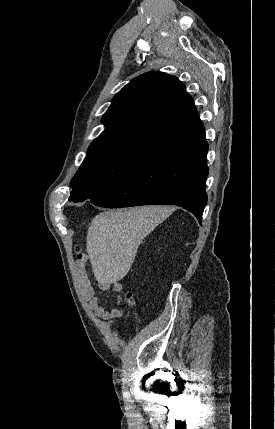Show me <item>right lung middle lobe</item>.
<instances>
[{
  "label": "right lung middle lobe",
  "instance_id": "dd1d6c3e",
  "mask_svg": "<svg viewBox=\"0 0 275 429\" xmlns=\"http://www.w3.org/2000/svg\"><path fill=\"white\" fill-rule=\"evenodd\" d=\"M149 157L124 148H109L87 155L72 180L69 200L81 202L109 191Z\"/></svg>",
  "mask_w": 275,
  "mask_h": 429
}]
</instances>
